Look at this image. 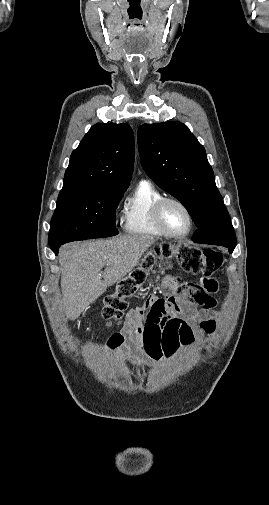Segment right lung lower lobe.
<instances>
[{"mask_svg":"<svg viewBox=\"0 0 269 505\" xmlns=\"http://www.w3.org/2000/svg\"><path fill=\"white\" fill-rule=\"evenodd\" d=\"M61 244H56V245H51L50 248L51 250L57 255L58 254V250H59V247H60Z\"/></svg>","mask_w":269,"mask_h":505,"instance_id":"obj_1","label":"right lung lower lobe"}]
</instances>
